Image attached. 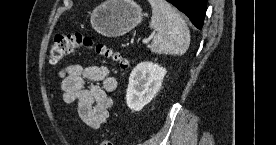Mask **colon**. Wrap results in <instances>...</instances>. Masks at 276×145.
I'll return each instance as SVG.
<instances>
[{"label": "colon", "mask_w": 276, "mask_h": 145, "mask_svg": "<svg viewBox=\"0 0 276 145\" xmlns=\"http://www.w3.org/2000/svg\"><path fill=\"white\" fill-rule=\"evenodd\" d=\"M84 47L93 49L98 55L110 58L115 61L121 70H129L132 62L118 52H114L102 44H94L92 39L81 33L74 34H56L49 52V61L51 64L59 63L65 56L74 52L76 49ZM100 145H113L111 140H102Z\"/></svg>", "instance_id": "colon-1"}]
</instances>
